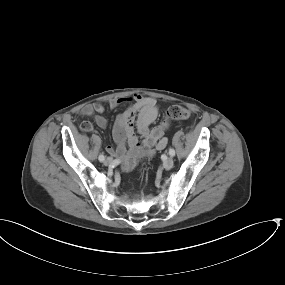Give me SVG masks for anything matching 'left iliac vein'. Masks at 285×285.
<instances>
[{
  "label": "left iliac vein",
  "instance_id": "1",
  "mask_svg": "<svg viewBox=\"0 0 285 285\" xmlns=\"http://www.w3.org/2000/svg\"><path fill=\"white\" fill-rule=\"evenodd\" d=\"M163 167L166 170H170L173 167V158L168 157L164 162H163Z\"/></svg>",
  "mask_w": 285,
  "mask_h": 285
}]
</instances>
